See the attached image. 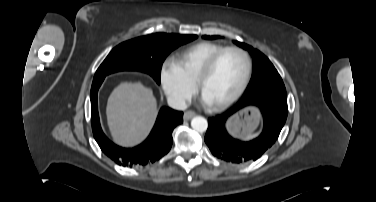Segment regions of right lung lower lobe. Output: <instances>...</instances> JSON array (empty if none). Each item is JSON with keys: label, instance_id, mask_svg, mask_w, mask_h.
I'll return each instance as SVG.
<instances>
[{"label": "right lung lower lobe", "instance_id": "98d812e1", "mask_svg": "<svg viewBox=\"0 0 376 202\" xmlns=\"http://www.w3.org/2000/svg\"><path fill=\"white\" fill-rule=\"evenodd\" d=\"M104 78L91 87V123L94 138L105 155L122 166L133 167L153 163L169 152L172 146V131L183 122V112L163 107L149 137L137 147L122 148L112 143L103 133L98 115L97 93Z\"/></svg>", "mask_w": 376, "mask_h": 202}]
</instances>
